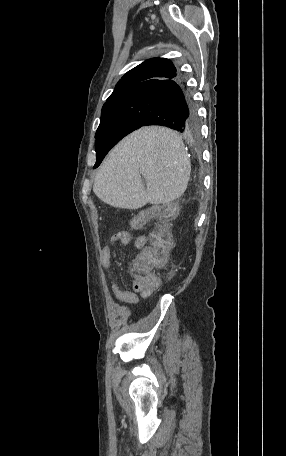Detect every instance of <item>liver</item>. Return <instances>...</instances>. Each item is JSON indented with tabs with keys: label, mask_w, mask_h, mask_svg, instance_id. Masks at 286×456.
I'll return each mask as SVG.
<instances>
[{
	"label": "liver",
	"mask_w": 286,
	"mask_h": 456,
	"mask_svg": "<svg viewBox=\"0 0 286 456\" xmlns=\"http://www.w3.org/2000/svg\"><path fill=\"white\" fill-rule=\"evenodd\" d=\"M190 172V160L177 132L143 127L110 152L96 174L93 191L104 203L118 208L164 204L184 194Z\"/></svg>",
	"instance_id": "obj_1"
}]
</instances>
